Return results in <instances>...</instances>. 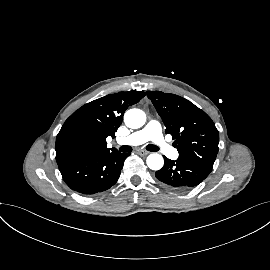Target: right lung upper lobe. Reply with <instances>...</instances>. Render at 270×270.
<instances>
[{"label":"right lung upper lobe","mask_w":270,"mask_h":270,"mask_svg":"<svg viewBox=\"0 0 270 270\" xmlns=\"http://www.w3.org/2000/svg\"><path fill=\"white\" fill-rule=\"evenodd\" d=\"M144 96L143 91L119 92L89 102L76 110L57 135V163L110 151L106 138L115 137L126 109Z\"/></svg>","instance_id":"1"}]
</instances>
